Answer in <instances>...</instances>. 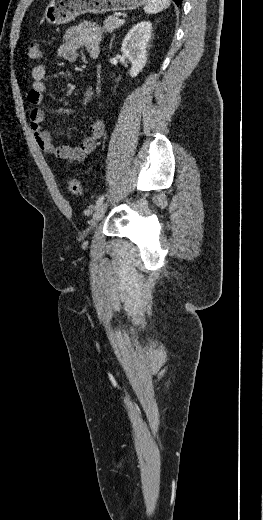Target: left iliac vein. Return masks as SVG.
Returning <instances> with one entry per match:
<instances>
[{"label":"left iliac vein","mask_w":263,"mask_h":520,"mask_svg":"<svg viewBox=\"0 0 263 520\" xmlns=\"http://www.w3.org/2000/svg\"><path fill=\"white\" fill-rule=\"evenodd\" d=\"M107 209V203H102L101 205H99L95 212H94V215H93V220H94V223H98L102 217L104 216L105 214V211Z\"/></svg>","instance_id":"1"}]
</instances>
